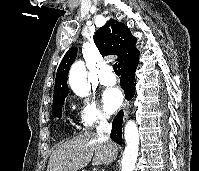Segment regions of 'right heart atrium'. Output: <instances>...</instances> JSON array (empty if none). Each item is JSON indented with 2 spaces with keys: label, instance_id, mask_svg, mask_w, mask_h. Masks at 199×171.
<instances>
[{
  "label": "right heart atrium",
  "instance_id": "obj_1",
  "mask_svg": "<svg viewBox=\"0 0 199 171\" xmlns=\"http://www.w3.org/2000/svg\"><path fill=\"white\" fill-rule=\"evenodd\" d=\"M108 116L97 103L89 98H82L79 102L78 122L83 130H90L97 125L105 124Z\"/></svg>",
  "mask_w": 199,
  "mask_h": 171
}]
</instances>
